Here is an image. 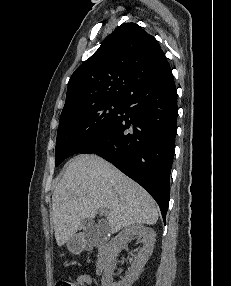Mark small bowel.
Wrapping results in <instances>:
<instances>
[{
    "label": "small bowel",
    "mask_w": 231,
    "mask_h": 286,
    "mask_svg": "<svg viewBox=\"0 0 231 286\" xmlns=\"http://www.w3.org/2000/svg\"><path fill=\"white\" fill-rule=\"evenodd\" d=\"M90 283V277L89 276H87V275H81V276H79V278H78V284L80 285V286H86L87 284H89Z\"/></svg>",
    "instance_id": "1"
}]
</instances>
